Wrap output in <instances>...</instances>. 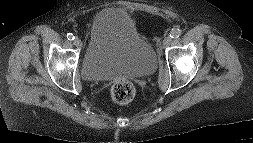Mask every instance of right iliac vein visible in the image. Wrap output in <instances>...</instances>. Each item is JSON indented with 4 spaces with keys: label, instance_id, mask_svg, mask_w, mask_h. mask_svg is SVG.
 <instances>
[{
    "label": "right iliac vein",
    "instance_id": "obj_1",
    "mask_svg": "<svg viewBox=\"0 0 253 143\" xmlns=\"http://www.w3.org/2000/svg\"><path fill=\"white\" fill-rule=\"evenodd\" d=\"M73 44L76 46V47H81L82 46V42L79 38H75L73 40Z\"/></svg>",
    "mask_w": 253,
    "mask_h": 143
}]
</instances>
